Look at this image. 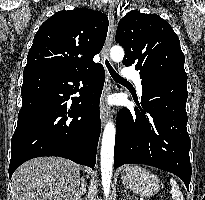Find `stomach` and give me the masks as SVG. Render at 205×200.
<instances>
[{
	"mask_svg": "<svg viewBox=\"0 0 205 200\" xmlns=\"http://www.w3.org/2000/svg\"><path fill=\"white\" fill-rule=\"evenodd\" d=\"M123 184L134 193L150 197L160 189V180L157 175L140 166H128L121 174Z\"/></svg>",
	"mask_w": 205,
	"mask_h": 200,
	"instance_id": "1",
	"label": "stomach"
}]
</instances>
